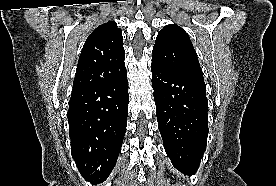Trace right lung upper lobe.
<instances>
[{"label": "right lung upper lobe", "instance_id": "obj_1", "mask_svg": "<svg viewBox=\"0 0 276 186\" xmlns=\"http://www.w3.org/2000/svg\"><path fill=\"white\" fill-rule=\"evenodd\" d=\"M122 30L116 22L98 26L87 38L77 65L73 89L119 80L127 74Z\"/></svg>", "mask_w": 276, "mask_h": 186}]
</instances>
